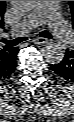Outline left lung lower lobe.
I'll return each instance as SVG.
<instances>
[{
  "label": "left lung lower lobe",
  "instance_id": "obj_1",
  "mask_svg": "<svg viewBox=\"0 0 74 122\" xmlns=\"http://www.w3.org/2000/svg\"><path fill=\"white\" fill-rule=\"evenodd\" d=\"M50 67L65 82L74 83V48L67 49L64 59L58 64H51Z\"/></svg>",
  "mask_w": 74,
  "mask_h": 122
}]
</instances>
